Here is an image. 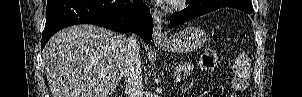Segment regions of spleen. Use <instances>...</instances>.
Instances as JSON below:
<instances>
[{
	"label": "spleen",
	"instance_id": "spleen-1",
	"mask_svg": "<svg viewBox=\"0 0 302 97\" xmlns=\"http://www.w3.org/2000/svg\"><path fill=\"white\" fill-rule=\"evenodd\" d=\"M233 71L235 75L242 79L247 80L250 78V66L247 55L244 52L240 53L236 59V62L233 65Z\"/></svg>",
	"mask_w": 302,
	"mask_h": 97
}]
</instances>
